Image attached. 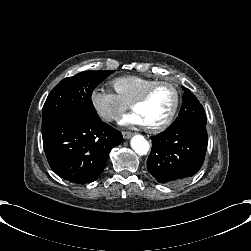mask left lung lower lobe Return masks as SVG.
Listing matches in <instances>:
<instances>
[{"mask_svg": "<svg viewBox=\"0 0 251 251\" xmlns=\"http://www.w3.org/2000/svg\"><path fill=\"white\" fill-rule=\"evenodd\" d=\"M148 172L164 184L179 183L201 168L207 149L206 124L190 122L152 137Z\"/></svg>", "mask_w": 251, "mask_h": 251, "instance_id": "obj_1", "label": "left lung lower lobe"}]
</instances>
